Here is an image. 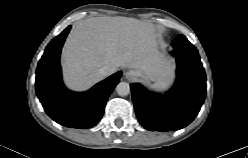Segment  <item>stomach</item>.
<instances>
[{
	"instance_id": "stomach-1",
	"label": "stomach",
	"mask_w": 248,
	"mask_h": 158,
	"mask_svg": "<svg viewBox=\"0 0 248 158\" xmlns=\"http://www.w3.org/2000/svg\"><path fill=\"white\" fill-rule=\"evenodd\" d=\"M169 64H170V67L172 69V64H171L170 61H169ZM136 75L138 77H140L144 82H149L150 81V77L147 74H145L144 72L140 71V70H136Z\"/></svg>"
}]
</instances>
